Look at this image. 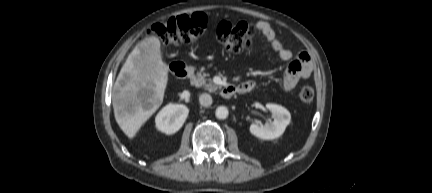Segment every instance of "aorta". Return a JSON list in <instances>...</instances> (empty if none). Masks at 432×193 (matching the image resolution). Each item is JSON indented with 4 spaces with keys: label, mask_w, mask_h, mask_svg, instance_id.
Masks as SVG:
<instances>
[{
    "label": "aorta",
    "mask_w": 432,
    "mask_h": 193,
    "mask_svg": "<svg viewBox=\"0 0 432 193\" xmlns=\"http://www.w3.org/2000/svg\"><path fill=\"white\" fill-rule=\"evenodd\" d=\"M229 111L225 106H218L215 111V115L218 119H226L228 117Z\"/></svg>",
    "instance_id": "1"
}]
</instances>
